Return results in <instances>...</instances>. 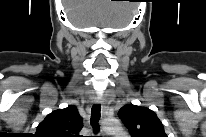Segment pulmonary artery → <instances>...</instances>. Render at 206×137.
<instances>
[{
	"label": "pulmonary artery",
	"mask_w": 206,
	"mask_h": 137,
	"mask_svg": "<svg viewBox=\"0 0 206 137\" xmlns=\"http://www.w3.org/2000/svg\"><path fill=\"white\" fill-rule=\"evenodd\" d=\"M116 137H127V136L125 135V133L119 132V133L116 135Z\"/></svg>",
	"instance_id": "e3ab8cb5"
}]
</instances>
